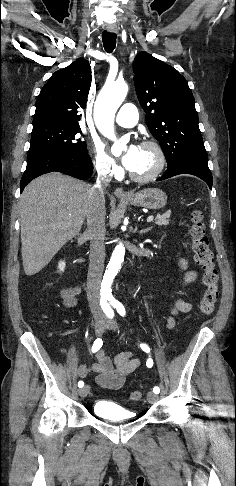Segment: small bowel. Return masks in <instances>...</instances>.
Masks as SVG:
<instances>
[{
    "label": "small bowel",
    "instance_id": "1",
    "mask_svg": "<svg viewBox=\"0 0 236 486\" xmlns=\"http://www.w3.org/2000/svg\"><path fill=\"white\" fill-rule=\"evenodd\" d=\"M180 267L184 270L183 282L189 284L197 278V272L189 269L185 260H180ZM80 292V287L70 286L61 290L60 296L64 308H71L76 305V296ZM192 310V304L183 299L177 300L170 308L164 320L169 328L174 325V317L180 313H187ZM140 366V360L132 352L125 351L119 353L114 359L106 355L104 351H98L96 362L93 364H82L78 367V374L85 378L90 373H97L96 382L99 386L107 389L117 390L121 388L126 377Z\"/></svg>",
    "mask_w": 236,
    "mask_h": 486
}]
</instances>
